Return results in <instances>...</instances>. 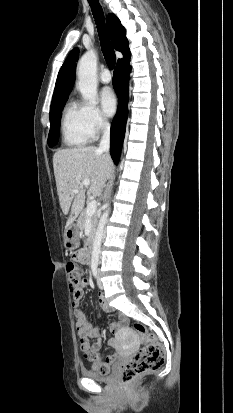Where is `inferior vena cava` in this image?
<instances>
[{
    "label": "inferior vena cava",
    "mask_w": 233,
    "mask_h": 413,
    "mask_svg": "<svg viewBox=\"0 0 233 413\" xmlns=\"http://www.w3.org/2000/svg\"><path fill=\"white\" fill-rule=\"evenodd\" d=\"M103 135L99 144V150L105 152L106 155L109 154L110 147V124L107 121L103 122Z\"/></svg>",
    "instance_id": "1"
}]
</instances>
